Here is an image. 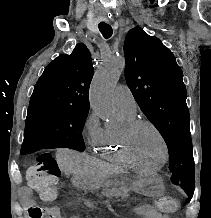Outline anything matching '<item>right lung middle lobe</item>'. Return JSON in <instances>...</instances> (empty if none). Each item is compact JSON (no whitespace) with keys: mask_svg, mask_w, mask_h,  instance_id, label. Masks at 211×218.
<instances>
[{"mask_svg":"<svg viewBox=\"0 0 211 218\" xmlns=\"http://www.w3.org/2000/svg\"><path fill=\"white\" fill-rule=\"evenodd\" d=\"M88 111L75 106L29 105L24 139L47 147L68 146L84 151L82 130Z\"/></svg>","mask_w":211,"mask_h":218,"instance_id":"right-lung-middle-lobe-1","label":"right lung middle lobe"}]
</instances>
